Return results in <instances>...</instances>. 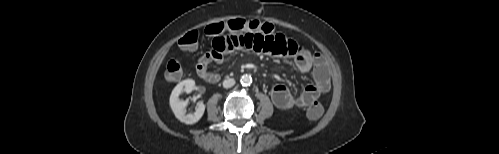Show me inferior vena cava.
Listing matches in <instances>:
<instances>
[{
  "label": "inferior vena cava",
  "instance_id": "602c4592",
  "mask_svg": "<svg viewBox=\"0 0 499 154\" xmlns=\"http://www.w3.org/2000/svg\"><path fill=\"white\" fill-rule=\"evenodd\" d=\"M235 85V80L233 78H229L223 81L224 88H230Z\"/></svg>",
  "mask_w": 499,
  "mask_h": 154
}]
</instances>
